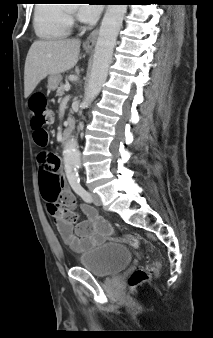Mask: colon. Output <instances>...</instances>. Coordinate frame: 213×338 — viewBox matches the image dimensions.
Returning <instances> with one entry per match:
<instances>
[{
  "mask_svg": "<svg viewBox=\"0 0 213 338\" xmlns=\"http://www.w3.org/2000/svg\"><path fill=\"white\" fill-rule=\"evenodd\" d=\"M29 108L32 112L31 125L34 129L33 138L35 144L40 147H46L49 143V135L44 129L45 125H49L53 121V114L51 109L48 107L46 97L43 93H36L32 95L29 99ZM46 163L42 164L41 172H43V178L46 181V190L49 193H54L58 181L56 170L57 167H48L47 160ZM60 205L57 202H51L48 204V211L54 217L59 212ZM65 218L70 222H75L77 220V215L74 212H69L65 215ZM131 247H138L139 240L134 236H126L120 239ZM157 263L154 262L150 265L142 267L135 271L129 278V283L131 286H139L149 280L151 275L155 272Z\"/></svg>",
  "mask_w": 213,
  "mask_h": 338,
  "instance_id": "colon-1",
  "label": "colon"
}]
</instances>
